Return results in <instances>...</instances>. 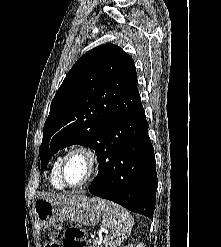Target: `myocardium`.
Listing matches in <instances>:
<instances>
[{
  "label": "myocardium",
  "instance_id": "obj_1",
  "mask_svg": "<svg viewBox=\"0 0 221 247\" xmlns=\"http://www.w3.org/2000/svg\"><path fill=\"white\" fill-rule=\"evenodd\" d=\"M83 155L88 162V173L86 177L77 184H70L65 177V166L69 158L73 155ZM99 170V156L97 151L86 144H78L70 148L61 160V165L59 169V176L63 184L69 188H79L90 182L97 174Z\"/></svg>",
  "mask_w": 221,
  "mask_h": 247
}]
</instances>
